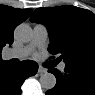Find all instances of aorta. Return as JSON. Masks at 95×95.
<instances>
[{
    "mask_svg": "<svg viewBox=\"0 0 95 95\" xmlns=\"http://www.w3.org/2000/svg\"><path fill=\"white\" fill-rule=\"evenodd\" d=\"M14 36L19 41L28 42L33 36V30L28 24L21 23L15 28ZM39 81L41 86L46 90L53 89L56 85L55 75L48 72L42 74Z\"/></svg>",
    "mask_w": 95,
    "mask_h": 95,
    "instance_id": "1",
    "label": "aorta"
}]
</instances>
